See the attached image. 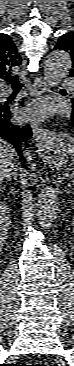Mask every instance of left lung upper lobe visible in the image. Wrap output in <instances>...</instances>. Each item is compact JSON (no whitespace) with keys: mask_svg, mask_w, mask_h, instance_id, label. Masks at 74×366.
Listing matches in <instances>:
<instances>
[{"mask_svg":"<svg viewBox=\"0 0 74 366\" xmlns=\"http://www.w3.org/2000/svg\"><path fill=\"white\" fill-rule=\"evenodd\" d=\"M67 51L72 58V70L70 76L74 77V32H68L60 37L55 48Z\"/></svg>","mask_w":74,"mask_h":366,"instance_id":"1","label":"left lung upper lobe"}]
</instances>
